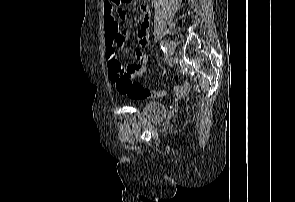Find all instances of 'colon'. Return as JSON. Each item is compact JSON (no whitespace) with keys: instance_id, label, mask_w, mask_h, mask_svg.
Wrapping results in <instances>:
<instances>
[{"instance_id":"obj_1","label":"colon","mask_w":295,"mask_h":202,"mask_svg":"<svg viewBox=\"0 0 295 202\" xmlns=\"http://www.w3.org/2000/svg\"><path fill=\"white\" fill-rule=\"evenodd\" d=\"M125 2L129 0H123ZM114 73L117 76V90L133 100H141L147 98L165 97L169 90H149L143 87L140 83L133 80L129 66L115 65L113 66Z\"/></svg>"}]
</instances>
